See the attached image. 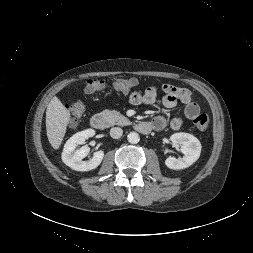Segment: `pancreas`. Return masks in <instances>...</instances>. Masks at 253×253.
Returning a JSON list of instances; mask_svg holds the SVG:
<instances>
[{
  "mask_svg": "<svg viewBox=\"0 0 253 253\" xmlns=\"http://www.w3.org/2000/svg\"><path fill=\"white\" fill-rule=\"evenodd\" d=\"M102 115L106 118L108 123L110 125H127L130 124V121L128 118L123 116L120 112L118 111H111V110H104L102 112Z\"/></svg>",
  "mask_w": 253,
  "mask_h": 253,
  "instance_id": "1",
  "label": "pancreas"
}]
</instances>
